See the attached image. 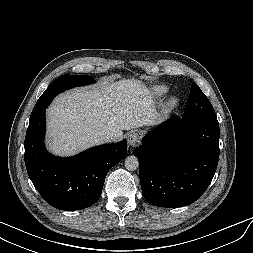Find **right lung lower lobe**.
Here are the masks:
<instances>
[{
  "instance_id": "right-lung-lower-lobe-1",
  "label": "right lung lower lobe",
  "mask_w": 253,
  "mask_h": 253,
  "mask_svg": "<svg viewBox=\"0 0 253 253\" xmlns=\"http://www.w3.org/2000/svg\"><path fill=\"white\" fill-rule=\"evenodd\" d=\"M45 109L30 117L25 165L43 199L60 210H80L100 197L105 177L127 153L126 140L88 149L70 158L54 157L44 147Z\"/></svg>"
}]
</instances>
